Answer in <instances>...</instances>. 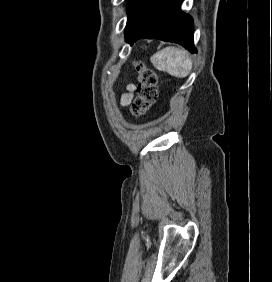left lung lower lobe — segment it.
Returning <instances> with one entry per match:
<instances>
[{
	"label": "left lung lower lobe",
	"mask_w": 272,
	"mask_h": 282,
	"mask_svg": "<svg viewBox=\"0 0 272 282\" xmlns=\"http://www.w3.org/2000/svg\"><path fill=\"white\" fill-rule=\"evenodd\" d=\"M183 0H130L125 38L132 45L138 39L175 42L191 53L193 19L180 11Z\"/></svg>",
	"instance_id": "1"
}]
</instances>
